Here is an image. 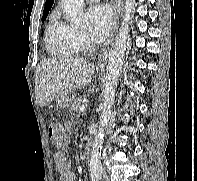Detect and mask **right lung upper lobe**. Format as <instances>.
Masks as SVG:
<instances>
[{"instance_id": "obj_1", "label": "right lung upper lobe", "mask_w": 197, "mask_h": 181, "mask_svg": "<svg viewBox=\"0 0 197 181\" xmlns=\"http://www.w3.org/2000/svg\"><path fill=\"white\" fill-rule=\"evenodd\" d=\"M54 3V0H47L44 8L43 15L48 14L49 10L51 9L52 5Z\"/></svg>"}]
</instances>
